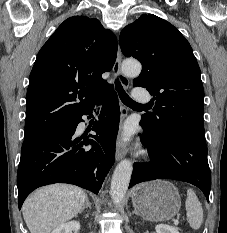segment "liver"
Returning a JSON list of instances; mask_svg holds the SVG:
<instances>
[{
  "label": "liver",
  "mask_w": 227,
  "mask_h": 233,
  "mask_svg": "<svg viewBox=\"0 0 227 233\" xmlns=\"http://www.w3.org/2000/svg\"><path fill=\"white\" fill-rule=\"evenodd\" d=\"M86 198L81 188L66 184H53L36 190L22 206L30 233H51L76 217Z\"/></svg>",
  "instance_id": "liver-1"
}]
</instances>
